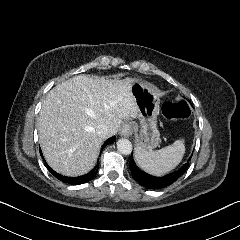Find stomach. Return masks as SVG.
<instances>
[{
	"instance_id": "stomach-1",
	"label": "stomach",
	"mask_w": 240,
	"mask_h": 240,
	"mask_svg": "<svg viewBox=\"0 0 240 240\" xmlns=\"http://www.w3.org/2000/svg\"><path fill=\"white\" fill-rule=\"evenodd\" d=\"M130 92L138 113L132 122L135 145L139 149L152 151L160 142L156 125L161 104V91L153 83L134 78Z\"/></svg>"
}]
</instances>
